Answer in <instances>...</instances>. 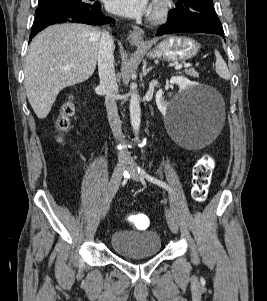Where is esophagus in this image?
<instances>
[{"label":"esophagus","instance_id":"esophagus-1","mask_svg":"<svg viewBox=\"0 0 267 301\" xmlns=\"http://www.w3.org/2000/svg\"><path fill=\"white\" fill-rule=\"evenodd\" d=\"M144 31L139 27H133V30L128 36V41L131 45L140 47L144 45L143 41Z\"/></svg>","mask_w":267,"mask_h":301}]
</instances>
